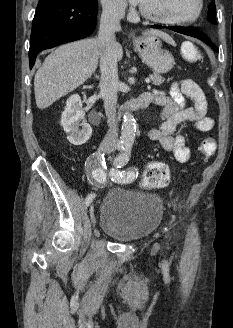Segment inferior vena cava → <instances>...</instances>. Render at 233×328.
<instances>
[{
	"label": "inferior vena cava",
	"mask_w": 233,
	"mask_h": 328,
	"mask_svg": "<svg viewBox=\"0 0 233 328\" xmlns=\"http://www.w3.org/2000/svg\"><path fill=\"white\" fill-rule=\"evenodd\" d=\"M125 15V3L109 0L102 5L98 40L102 45L100 53V94L104 100L109 129L100 145L103 151L113 152L118 142L116 105L118 91L117 57L113 52L115 32L121 29L120 20Z\"/></svg>",
	"instance_id": "1"
}]
</instances>
